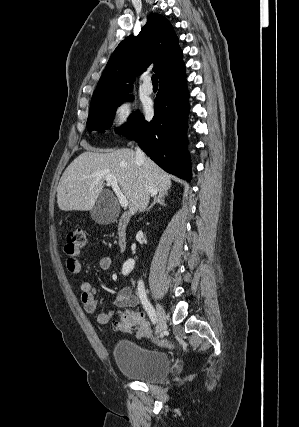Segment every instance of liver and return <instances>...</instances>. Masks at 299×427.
<instances>
[{
    "label": "liver",
    "mask_w": 299,
    "mask_h": 427,
    "mask_svg": "<svg viewBox=\"0 0 299 427\" xmlns=\"http://www.w3.org/2000/svg\"><path fill=\"white\" fill-rule=\"evenodd\" d=\"M103 173L117 179L128 200L130 216L137 212L146 185L152 187L155 195L171 187V178L165 171L149 158L137 159L132 149L110 153L87 151L64 171L57 187L58 207L63 211L91 210L104 188Z\"/></svg>",
    "instance_id": "obj_1"
}]
</instances>
